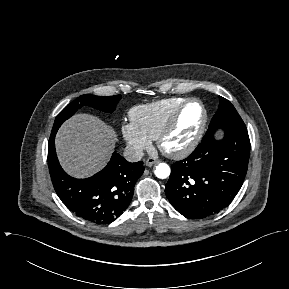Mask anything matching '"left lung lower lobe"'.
I'll return each instance as SVG.
<instances>
[{"label": "left lung lower lobe", "instance_id": "1", "mask_svg": "<svg viewBox=\"0 0 289 289\" xmlns=\"http://www.w3.org/2000/svg\"><path fill=\"white\" fill-rule=\"evenodd\" d=\"M206 132L192 154L172 165L165 194L189 219H201L228 206L240 190L248 168L247 130L224 129L222 140Z\"/></svg>", "mask_w": 289, "mask_h": 289}]
</instances>
